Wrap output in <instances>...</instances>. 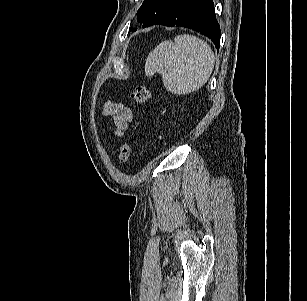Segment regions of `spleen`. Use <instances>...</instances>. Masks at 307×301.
Wrapping results in <instances>:
<instances>
[{
  "label": "spleen",
  "instance_id": "3e777b00",
  "mask_svg": "<svg viewBox=\"0 0 307 301\" xmlns=\"http://www.w3.org/2000/svg\"><path fill=\"white\" fill-rule=\"evenodd\" d=\"M215 57L202 39L189 34L177 35L172 41L161 42L149 53L145 74L159 73L164 87L173 94H188L207 83Z\"/></svg>",
  "mask_w": 307,
  "mask_h": 301
}]
</instances>
